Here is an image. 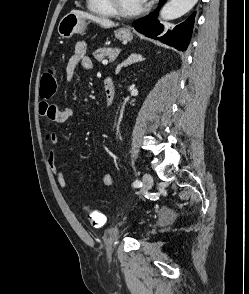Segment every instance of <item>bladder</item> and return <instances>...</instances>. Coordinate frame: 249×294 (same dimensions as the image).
Returning <instances> with one entry per match:
<instances>
[{
    "instance_id": "1",
    "label": "bladder",
    "mask_w": 249,
    "mask_h": 294,
    "mask_svg": "<svg viewBox=\"0 0 249 294\" xmlns=\"http://www.w3.org/2000/svg\"><path fill=\"white\" fill-rule=\"evenodd\" d=\"M119 235L120 233L116 229L112 228L104 233L103 238L105 241H115L118 239Z\"/></svg>"
}]
</instances>
